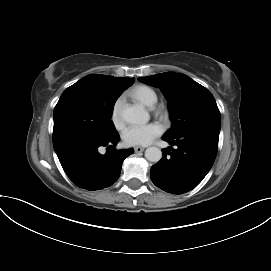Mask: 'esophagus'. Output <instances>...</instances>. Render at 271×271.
I'll return each mask as SVG.
<instances>
[{
    "instance_id": "1",
    "label": "esophagus",
    "mask_w": 271,
    "mask_h": 271,
    "mask_svg": "<svg viewBox=\"0 0 271 271\" xmlns=\"http://www.w3.org/2000/svg\"><path fill=\"white\" fill-rule=\"evenodd\" d=\"M144 150H145V148H144V147H141V146H136V147H134V151H135L136 153L143 152Z\"/></svg>"
}]
</instances>
